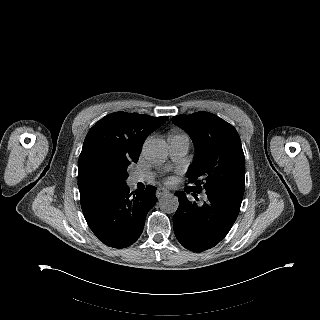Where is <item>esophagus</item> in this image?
<instances>
[{"mask_svg":"<svg viewBox=\"0 0 320 320\" xmlns=\"http://www.w3.org/2000/svg\"><path fill=\"white\" fill-rule=\"evenodd\" d=\"M167 193H169V191H168L166 188H164V187H159V188H157V190H156V196H157V197H161V196H163V195H165V194H167Z\"/></svg>","mask_w":320,"mask_h":320,"instance_id":"1","label":"esophagus"}]
</instances>
